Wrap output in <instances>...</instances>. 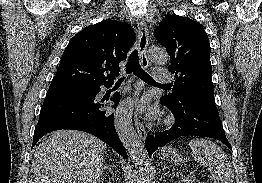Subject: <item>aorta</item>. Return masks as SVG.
I'll list each match as a JSON object with an SVG mask.
<instances>
[{
  "label": "aorta",
  "instance_id": "762f6f07",
  "mask_svg": "<svg viewBox=\"0 0 262 183\" xmlns=\"http://www.w3.org/2000/svg\"><path fill=\"white\" fill-rule=\"evenodd\" d=\"M148 55L155 64H165L168 61V53L157 46H151ZM133 104L134 101L131 98H127L119 104L115 114V127L120 140L134 162L138 182L149 183L151 163L132 124Z\"/></svg>",
  "mask_w": 262,
  "mask_h": 183
}]
</instances>
